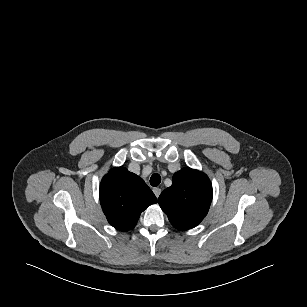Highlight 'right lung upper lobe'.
<instances>
[{"label": "right lung upper lobe", "instance_id": "obj_1", "mask_svg": "<svg viewBox=\"0 0 307 307\" xmlns=\"http://www.w3.org/2000/svg\"><path fill=\"white\" fill-rule=\"evenodd\" d=\"M100 202L108 222L120 231L133 229L157 198L144 180L126 168L115 167L102 179Z\"/></svg>", "mask_w": 307, "mask_h": 307}]
</instances>
